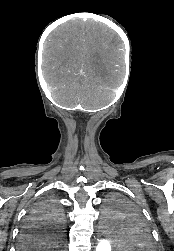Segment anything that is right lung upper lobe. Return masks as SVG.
Listing matches in <instances>:
<instances>
[{
  "label": "right lung upper lobe",
  "mask_w": 174,
  "mask_h": 251,
  "mask_svg": "<svg viewBox=\"0 0 174 251\" xmlns=\"http://www.w3.org/2000/svg\"><path fill=\"white\" fill-rule=\"evenodd\" d=\"M48 242L45 240H41L38 236V233L34 236L33 240L30 242H26L21 244L20 248L23 250H36L39 249L45 250L46 247H48Z\"/></svg>",
  "instance_id": "right-lung-upper-lobe-1"
}]
</instances>
